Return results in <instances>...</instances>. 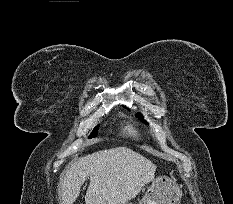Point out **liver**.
<instances>
[{"label":"liver","mask_w":233,"mask_h":204,"mask_svg":"<svg viewBox=\"0 0 233 204\" xmlns=\"http://www.w3.org/2000/svg\"><path fill=\"white\" fill-rule=\"evenodd\" d=\"M156 166L143 155L120 146L74 160L59 185L61 204H73L87 177L86 204H123L135 198L154 176Z\"/></svg>","instance_id":"liver-1"}]
</instances>
